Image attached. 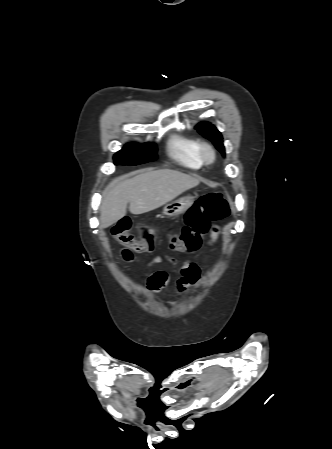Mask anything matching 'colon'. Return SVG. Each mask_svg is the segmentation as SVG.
Wrapping results in <instances>:
<instances>
[{
  "mask_svg": "<svg viewBox=\"0 0 332 449\" xmlns=\"http://www.w3.org/2000/svg\"><path fill=\"white\" fill-rule=\"evenodd\" d=\"M229 206L223 196L212 192L202 196L185 215V225L178 234L170 238V247L180 253L192 254L197 252L203 242V237L211 230L213 222L226 218ZM113 236L124 246L122 251L125 260L132 259L134 253L153 250V236L141 231L132 233V223L128 219L119 220L112 227Z\"/></svg>",
  "mask_w": 332,
  "mask_h": 449,
  "instance_id": "obj_1",
  "label": "colon"
}]
</instances>
